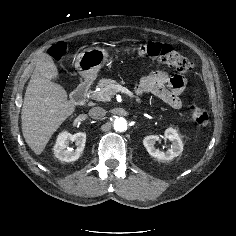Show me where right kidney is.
<instances>
[{
	"label": "right kidney",
	"mask_w": 236,
	"mask_h": 236,
	"mask_svg": "<svg viewBox=\"0 0 236 236\" xmlns=\"http://www.w3.org/2000/svg\"><path fill=\"white\" fill-rule=\"evenodd\" d=\"M70 142H75L76 149L69 147ZM85 143L86 134L83 132L76 134H70L66 131L62 132L57 137V141L54 146V154L60 161H75L81 156L85 147Z\"/></svg>",
	"instance_id": "ca27d5eb"
}]
</instances>
